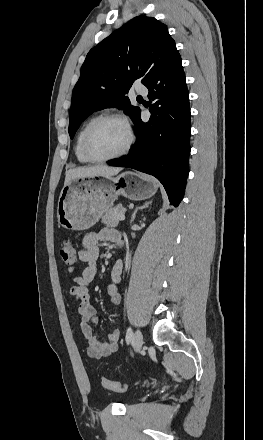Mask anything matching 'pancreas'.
<instances>
[{
    "label": "pancreas",
    "instance_id": "obj_1",
    "mask_svg": "<svg viewBox=\"0 0 263 440\" xmlns=\"http://www.w3.org/2000/svg\"><path fill=\"white\" fill-rule=\"evenodd\" d=\"M126 209L121 205L118 204L115 207L109 209L105 212V214L102 216L101 222L108 227H116L119 224V215L124 214Z\"/></svg>",
    "mask_w": 263,
    "mask_h": 440
}]
</instances>
